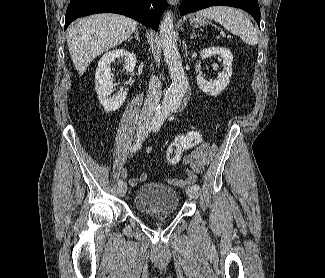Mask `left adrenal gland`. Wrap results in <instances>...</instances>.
<instances>
[{"mask_svg":"<svg viewBox=\"0 0 325 278\" xmlns=\"http://www.w3.org/2000/svg\"><path fill=\"white\" fill-rule=\"evenodd\" d=\"M196 36H199L198 34L195 33V30H192V35L190 36V39L195 38Z\"/></svg>","mask_w":325,"mask_h":278,"instance_id":"left-adrenal-gland-1","label":"left adrenal gland"}]
</instances>
